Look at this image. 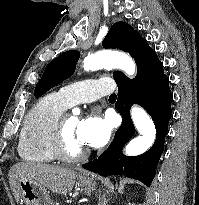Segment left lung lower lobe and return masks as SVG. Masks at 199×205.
I'll return each instance as SVG.
<instances>
[{"instance_id": "left-lung-lower-lobe-1", "label": "left lung lower lobe", "mask_w": 199, "mask_h": 205, "mask_svg": "<svg viewBox=\"0 0 199 205\" xmlns=\"http://www.w3.org/2000/svg\"><path fill=\"white\" fill-rule=\"evenodd\" d=\"M127 52L134 58L138 72L133 80L122 72L115 78L118 86L115 107L123 117V124L116 131L107 150L82 167L101 176H125L150 186L164 149L168 123L172 117V94L169 79L163 72V63L144 38L138 34ZM133 104H139L149 113L155 123L157 136L153 146L145 153L139 156H125L122 148L135 134L130 117V108Z\"/></svg>"}]
</instances>
